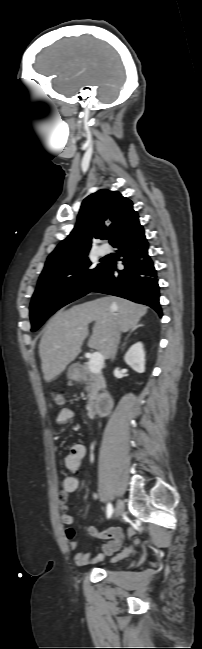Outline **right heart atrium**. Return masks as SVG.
Instances as JSON below:
<instances>
[{
  "instance_id": "1",
  "label": "right heart atrium",
  "mask_w": 202,
  "mask_h": 649,
  "mask_svg": "<svg viewBox=\"0 0 202 649\" xmlns=\"http://www.w3.org/2000/svg\"><path fill=\"white\" fill-rule=\"evenodd\" d=\"M87 281L83 277H76L70 285V291L73 294H80L86 290Z\"/></svg>"
}]
</instances>
